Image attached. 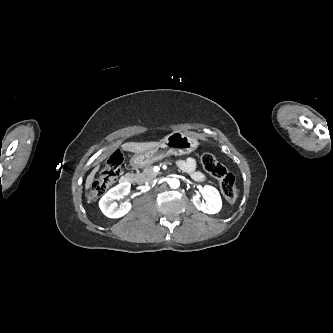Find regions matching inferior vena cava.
<instances>
[{
    "instance_id": "inferior-vena-cava-1",
    "label": "inferior vena cava",
    "mask_w": 333,
    "mask_h": 333,
    "mask_svg": "<svg viewBox=\"0 0 333 333\" xmlns=\"http://www.w3.org/2000/svg\"><path fill=\"white\" fill-rule=\"evenodd\" d=\"M155 184V181L151 182L150 185H154Z\"/></svg>"
}]
</instances>
